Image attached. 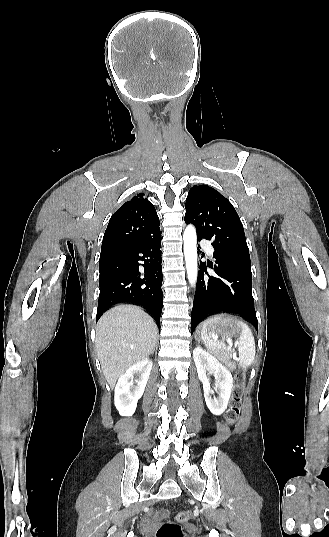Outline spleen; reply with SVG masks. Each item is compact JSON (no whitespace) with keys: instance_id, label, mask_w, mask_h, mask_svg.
<instances>
[{"instance_id":"obj_1","label":"spleen","mask_w":329,"mask_h":537,"mask_svg":"<svg viewBox=\"0 0 329 537\" xmlns=\"http://www.w3.org/2000/svg\"><path fill=\"white\" fill-rule=\"evenodd\" d=\"M242 332L239 339L235 342L238 346L239 363L242 367H248L255 359V340L251 329L245 323L241 322ZM202 341L209 349L226 350V345L223 341L215 342L207 335H202Z\"/></svg>"}]
</instances>
